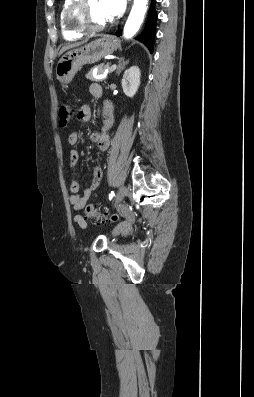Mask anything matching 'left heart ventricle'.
I'll list each match as a JSON object with an SVG mask.
<instances>
[{"instance_id":"left-heart-ventricle-1","label":"left heart ventricle","mask_w":254,"mask_h":397,"mask_svg":"<svg viewBox=\"0 0 254 397\" xmlns=\"http://www.w3.org/2000/svg\"><path fill=\"white\" fill-rule=\"evenodd\" d=\"M87 17L92 25H103L109 22V18L101 7L100 0H89L87 7Z\"/></svg>"}]
</instances>
